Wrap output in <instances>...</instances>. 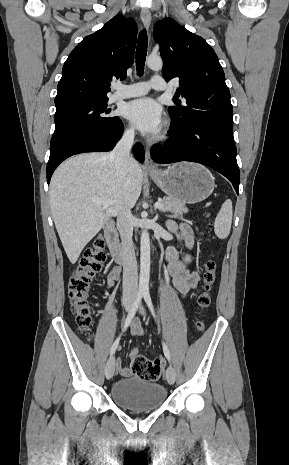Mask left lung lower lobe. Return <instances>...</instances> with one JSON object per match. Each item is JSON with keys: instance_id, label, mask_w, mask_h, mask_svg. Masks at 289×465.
I'll list each match as a JSON object with an SVG mask.
<instances>
[{"instance_id": "1", "label": "left lung lower lobe", "mask_w": 289, "mask_h": 465, "mask_svg": "<svg viewBox=\"0 0 289 465\" xmlns=\"http://www.w3.org/2000/svg\"><path fill=\"white\" fill-rule=\"evenodd\" d=\"M232 127L204 121L170 126L171 138L164 146L151 149L157 163L179 161L197 162L218 171L233 184L239 194L240 172L236 160V147Z\"/></svg>"}]
</instances>
